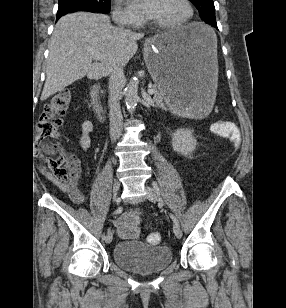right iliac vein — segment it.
Masks as SVG:
<instances>
[{
    "label": "right iliac vein",
    "instance_id": "63e3f726",
    "mask_svg": "<svg viewBox=\"0 0 286 308\" xmlns=\"http://www.w3.org/2000/svg\"><path fill=\"white\" fill-rule=\"evenodd\" d=\"M119 188H120V183L117 179H115L114 182H113V200L114 201H116ZM112 238H113L112 232L108 231L106 238H105V242L107 244H110L112 242Z\"/></svg>",
    "mask_w": 286,
    "mask_h": 308
}]
</instances>
